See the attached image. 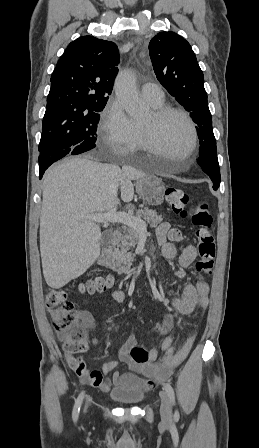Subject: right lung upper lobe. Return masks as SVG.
<instances>
[{
    "label": "right lung upper lobe",
    "mask_w": 259,
    "mask_h": 448,
    "mask_svg": "<svg viewBox=\"0 0 259 448\" xmlns=\"http://www.w3.org/2000/svg\"><path fill=\"white\" fill-rule=\"evenodd\" d=\"M118 63L113 42L89 35L71 42L51 76L45 113L67 114L106 105Z\"/></svg>",
    "instance_id": "obj_1"
}]
</instances>
